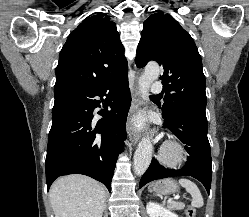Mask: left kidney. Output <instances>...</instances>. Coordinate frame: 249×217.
I'll return each mask as SVG.
<instances>
[{"mask_svg": "<svg viewBox=\"0 0 249 217\" xmlns=\"http://www.w3.org/2000/svg\"><path fill=\"white\" fill-rule=\"evenodd\" d=\"M146 211L149 217H178V215L155 202H148Z\"/></svg>", "mask_w": 249, "mask_h": 217, "instance_id": "5707ae66", "label": "left kidney"}]
</instances>
